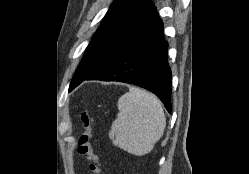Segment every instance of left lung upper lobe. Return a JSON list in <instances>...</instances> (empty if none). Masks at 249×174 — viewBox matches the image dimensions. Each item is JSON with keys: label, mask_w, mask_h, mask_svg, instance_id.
<instances>
[{"label": "left lung upper lobe", "mask_w": 249, "mask_h": 174, "mask_svg": "<svg viewBox=\"0 0 249 174\" xmlns=\"http://www.w3.org/2000/svg\"><path fill=\"white\" fill-rule=\"evenodd\" d=\"M157 15L151 0H115L89 43L71 83L77 78H88L100 70Z\"/></svg>", "instance_id": "1"}]
</instances>
